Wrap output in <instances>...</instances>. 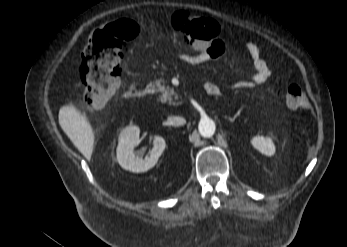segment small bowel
I'll return each instance as SVG.
<instances>
[{
	"mask_svg": "<svg viewBox=\"0 0 347 247\" xmlns=\"http://www.w3.org/2000/svg\"><path fill=\"white\" fill-rule=\"evenodd\" d=\"M246 49L252 61L255 72L248 80H239L234 83L235 88H252L255 85L264 83L270 76V69L261 55L259 46L254 42H247ZM227 50L226 41L223 38H216L203 48H195L194 53H182L179 58L189 65H199L209 61L220 59ZM205 89H214L216 95L220 93V88L212 82L205 83Z\"/></svg>",
	"mask_w": 347,
	"mask_h": 247,
	"instance_id": "c3829d8e",
	"label": "small bowel"
}]
</instances>
